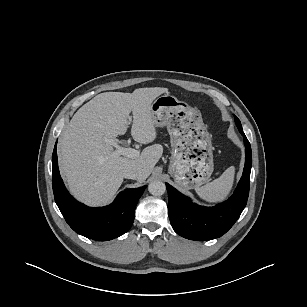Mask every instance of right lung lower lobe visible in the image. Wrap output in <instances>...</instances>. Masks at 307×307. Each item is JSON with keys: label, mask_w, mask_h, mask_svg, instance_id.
Listing matches in <instances>:
<instances>
[{"label": "right lung lower lobe", "mask_w": 307, "mask_h": 307, "mask_svg": "<svg viewBox=\"0 0 307 307\" xmlns=\"http://www.w3.org/2000/svg\"><path fill=\"white\" fill-rule=\"evenodd\" d=\"M52 166L55 202L68 225L76 233L89 239L107 241L123 235L131 228L136 204L146 186L125 189L112 204L91 208L76 201L66 190L58 169L56 145L52 155Z\"/></svg>", "instance_id": "right-lung-lower-lobe-1"}]
</instances>
